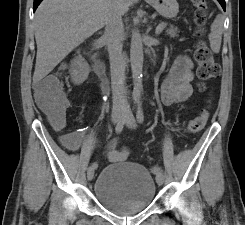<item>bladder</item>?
I'll return each instance as SVG.
<instances>
[{
	"instance_id": "bladder-1",
	"label": "bladder",
	"mask_w": 245,
	"mask_h": 225,
	"mask_svg": "<svg viewBox=\"0 0 245 225\" xmlns=\"http://www.w3.org/2000/svg\"><path fill=\"white\" fill-rule=\"evenodd\" d=\"M157 195L152 172L127 161L103 167L95 179L93 196L110 213L138 214L149 208Z\"/></svg>"
}]
</instances>
